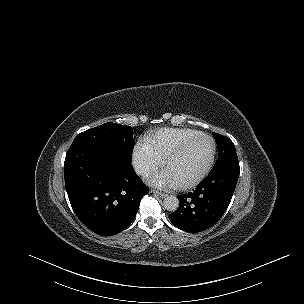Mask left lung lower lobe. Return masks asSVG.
Masks as SVG:
<instances>
[{
  "mask_svg": "<svg viewBox=\"0 0 304 304\" xmlns=\"http://www.w3.org/2000/svg\"><path fill=\"white\" fill-rule=\"evenodd\" d=\"M239 173V163L209 172L195 190L177 196L180 206L169 215L170 221L189 233L203 231L214 225L230 204Z\"/></svg>",
  "mask_w": 304,
  "mask_h": 304,
  "instance_id": "left-lung-lower-lobe-1",
  "label": "left lung lower lobe"
}]
</instances>
